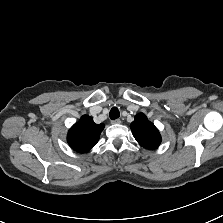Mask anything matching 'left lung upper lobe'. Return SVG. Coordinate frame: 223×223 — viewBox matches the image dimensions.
<instances>
[{
  "instance_id": "1",
  "label": "left lung upper lobe",
  "mask_w": 223,
  "mask_h": 223,
  "mask_svg": "<svg viewBox=\"0 0 223 223\" xmlns=\"http://www.w3.org/2000/svg\"><path fill=\"white\" fill-rule=\"evenodd\" d=\"M130 128L137 142L144 148L154 149L160 145V133L155 125L147 119L145 114H137Z\"/></svg>"
}]
</instances>
